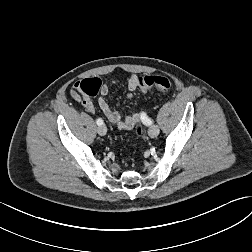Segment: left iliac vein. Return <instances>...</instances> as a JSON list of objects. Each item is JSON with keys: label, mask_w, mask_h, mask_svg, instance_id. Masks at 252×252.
<instances>
[{"label": "left iliac vein", "mask_w": 252, "mask_h": 252, "mask_svg": "<svg viewBox=\"0 0 252 252\" xmlns=\"http://www.w3.org/2000/svg\"><path fill=\"white\" fill-rule=\"evenodd\" d=\"M159 132L160 129L157 125H152L148 130V134L151 138H155L156 136H158Z\"/></svg>", "instance_id": "left-iliac-vein-1"}]
</instances>
